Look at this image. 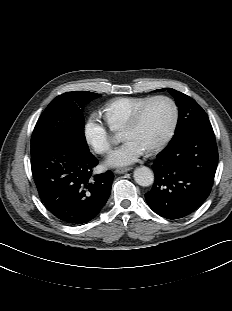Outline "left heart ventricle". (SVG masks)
Instances as JSON below:
<instances>
[{"mask_svg":"<svg viewBox=\"0 0 232 311\" xmlns=\"http://www.w3.org/2000/svg\"><path fill=\"white\" fill-rule=\"evenodd\" d=\"M172 120V108L167 101L153 102L145 111L139 124L131 130L123 131L125 140H136L146 149L157 144L167 132Z\"/></svg>","mask_w":232,"mask_h":311,"instance_id":"obj_1","label":"left heart ventricle"}]
</instances>
